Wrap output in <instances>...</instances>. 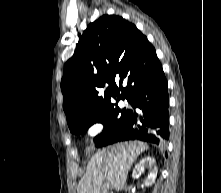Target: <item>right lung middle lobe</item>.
Here are the masks:
<instances>
[{
  "label": "right lung middle lobe",
  "mask_w": 221,
  "mask_h": 193,
  "mask_svg": "<svg viewBox=\"0 0 221 193\" xmlns=\"http://www.w3.org/2000/svg\"><path fill=\"white\" fill-rule=\"evenodd\" d=\"M125 99V98H123ZM130 102L129 98H126ZM120 99L117 100V102ZM131 110L118 107L117 103H110L107 107L77 118L70 131L74 134L85 132L91 125L96 122L104 124L103 132L95 138L96 145L103 146L105 141L115 136L127 123Z\"/></svg>",
  "instance_id": "obj_1"
}]
</instances>
